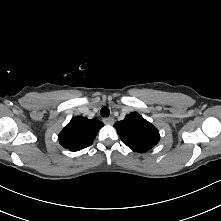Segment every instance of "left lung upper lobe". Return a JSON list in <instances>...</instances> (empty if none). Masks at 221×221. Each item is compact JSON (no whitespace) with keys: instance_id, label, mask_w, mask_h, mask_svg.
<instances>
[{"instance_id":"5c2ea615","label":"left lung upper lobe","mask_w":221,"mask_h":221,"mask_svg":"<svg viewBox=\"0 0 221 221\" xmlns=\"http://www.w3.org/2000/svg\"><path fill=\"white\" fill-rule=\"evenodd\" d=\"M121 140L133 151L144 153L154 147L160 139L159 131L137 112L115 123Z\"/></svg>"}]
</instances>
